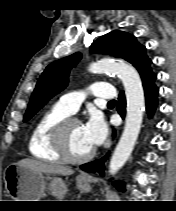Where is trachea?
Returning a JSON list of instances; mask_svg holds the SVG:
<instances>
[{"instance_id":"3493384b","label":"trachea","mask_w":176,"mask_h":211,"mask_svg":"<svg viewBox=\"0 0 176 211\" xmlns=\"http://www.w3.org/2000/svg\"><path fill=\"white\" fill-rule=\"evenodd\" d=\"M108 104H116V100H111Z\"/></svg>"}]
</instances>
